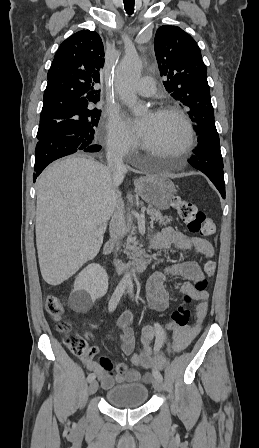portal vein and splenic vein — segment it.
Listing matches in <instances>:
<instances>
[{"label": "portal vein and splenic vein", "mask_w": 259, "mask_h": 448, "mask_svg": "<svg viewBox=\"0 0 259 448\" xmlns=\"http://www.w3.org/2000/svg\"><path fill=\"white\" fill-rule=\"evenodd\" d=\"M136 218H138V220H144V216H141V214H138V216H136ZM106 222H104V224H102V226H100V228H98L97 232H99V234H103V232H105L106 230ZM96 232V234H97Z\"/></svg>", "instance_id": "1"}]
</instances>
